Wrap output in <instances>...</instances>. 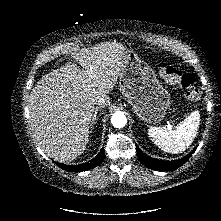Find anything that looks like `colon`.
Segmentation results:
<instances>
[{"label": "colon", "mask_w": 221, "mask_h": 221, "mask_svg": "<svg viewBox=\"0 0 221 221\" xmlns=\"http://www.w3.org/2000/svg\"><path fill=\"white\" fill-rule=\"evenodd\" d=\"M159 74L166 82L183 87L189 101L197 102L200 100L201 93L193 74L183 73L169 63H164L159 67Z\"/></svg>", "instance_id": "obj_1"}]
</instances>
